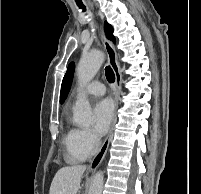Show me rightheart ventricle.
<instances>
[{"mask_svg": "<svg viewBox=\"0 0 201 194\" xmlns=\"http://www.w3.org/2000/svg\"><path fill=\"white\" fill-rule=\"evenodd\" d=\"M76 128L68 125L64 138L63 144L66 150V159L70 163H77L86 160L90 154L84 153L76 147L75 135Z\"/></svg>", "mask_w": 201, "mask_h": 194, "instance_id": "right-heart-ventricle-1", "label": "right heart ventricle"}]
</instances>
